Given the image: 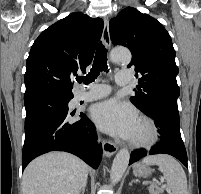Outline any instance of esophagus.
Returning <instances> with one entry per match:
<instances>
[{"label":"esophagus","mask_w":201,"mask_h":194,"mask_svg":"<svg viewBox=\"0 0 201 194\" xmlns=\"http://www.w3.org/2000/svg\"><path fill=\"white\" fill-rule=\"evenodd\" d=\"M103 43L106 48L110 49L111 47V40H110V32H109V23L107 19H104V29L102 35ZM117 151V145L110 141L104 140L103 142V152L106 157H111Z\"/></svg>","instance_id":"1"}]
</instances>
